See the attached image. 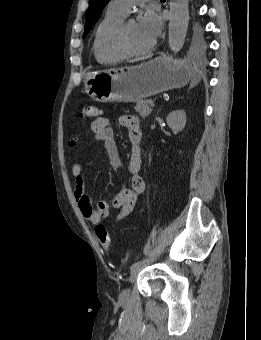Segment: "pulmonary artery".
<instances>
[{"label":"pulmonary artery","mask_w":261,"mask_h":340,"mask_svg":"<svg viewBox=\"0 0 261 340\" xmlns=\"http://www.w3.org/2000/svg\"><path fill=\"white\" fill-rule=\"evenodd\" d=\"M144 0H112L109 7L124 16H127L131 8Z\"/></svg>","instance_id":"obj_1"}]
</instances>
